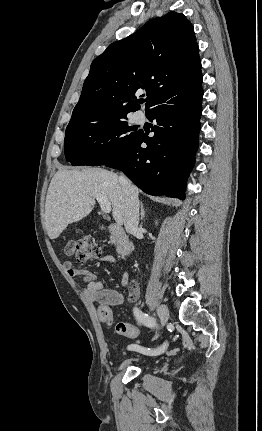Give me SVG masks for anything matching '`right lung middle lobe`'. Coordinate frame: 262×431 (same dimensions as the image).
<instances>
[{"label":"right lung middle lobe","instance_id":"obj_1","mask_svg":"<svg viewBox=\"0 0 262 431\" xmlns=\"http://www.w3.org/2000/svg\"><path fill=\"white\" fill-rule=\"evenodd\" d=\"M126 115L100 121L69 124L65 132V157L72 165H104L120 155L139 131L128 127Z\"/></svg>","mask_w":262,"mask_h":431}]
</instances>
